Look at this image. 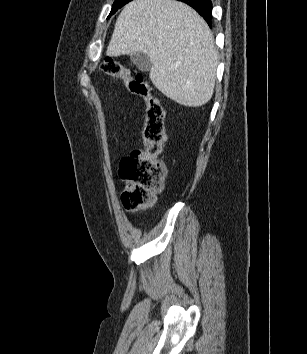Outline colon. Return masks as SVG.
<instances>
[{
  "mask_svg": "<svg viewBox=\"0 0 307 354\" xmlns=\"http://www.w3.org/2000/svg\"><path fill=\"white\" fill-rule=\"evenodd\" d=\"M101 69L106 75L123 82L133 95L143 98L146 104L144 148L125 157L119 170L121 178L127 183L121 195L123 207L128 212L141 211L154 204L156 194L163 186L165 166L159 155L165 138L164 110L142 74L133 73L113 58H106Z\"/></svg>",
  "mask_w": 307,
  "mask_h": 354,
  "instance_id": "5ec220e1",
  "label": "colon"
}]
</instances>
